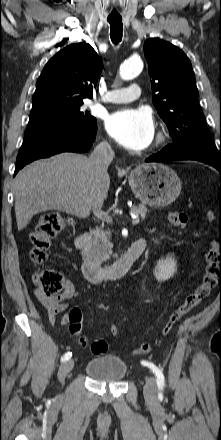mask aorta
<instances>
[{"label":"aorta","mask_w":221,"mask_h":440,"mask_svg":"<svg viewBox=\"0 0 221 440\" xmlns=\"http://www.w3.org/2000/svg\"><path fill=\"white\" fill-rule=\"evenodd\" d=\"M143 69V62L140 58H130L120 67V76L123 80H131L137 77Z\"/></svg>","instance_id":"1"}]
</instances>
